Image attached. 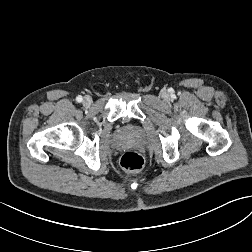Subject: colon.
<instances>
[{
	"label": "colon",
	"instance_id": "5ec220e1",
	"mask_svg": "<svg viewBox=\"0 0 252 252\" xmlns=\"http://www.w3.org/2000/svg\"><path fill=\"white\" fill-rule=\"evenodd\" d=\"M121 167L128 172H137L144 165V158L137 152H126L120 159Z\"/></svg>",
	"mask_w": 252,
	"mask_h": 252
}]
</instances>
